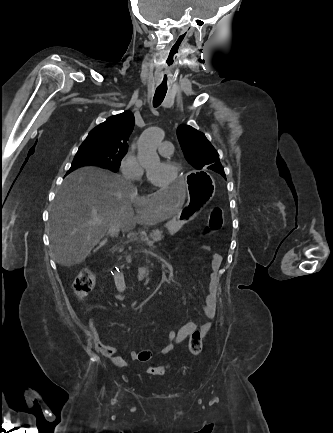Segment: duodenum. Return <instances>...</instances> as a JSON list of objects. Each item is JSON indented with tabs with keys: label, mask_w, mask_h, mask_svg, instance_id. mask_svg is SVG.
Listing matches in <instances>:
<instances>
[{
	"label": "duodenum",
	"mask_w": 333,
	"mask_h": 433,
	"mask_svg": "<svg viewBox=\"0 0 333 433\" xmlns=\"http://www.w3.org/2000/svg\"><path fill=\"white\" fill-rule=\"evenodd\" d=\"M152 267L151 266H142L136 269L135 277L138 280H144L150 276Z\"/></svg>",
	"instance_id": "1"
}]
</instances>
